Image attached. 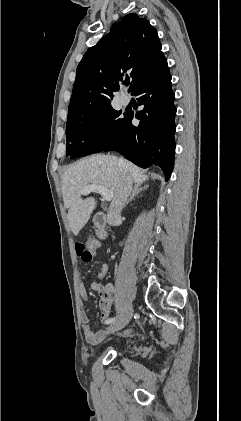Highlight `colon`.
Returning a JSON list of instances; mask_svg holds the SVG:
<instances>
[{
  "mask_svg": "<svg viewBox=\"0 0 241 421\" xmlns=\"http://www.w3.org/2000/svg\"><path fill=\"white\" fill-rule=\"evenodd\" d=\"M97 243L94 240H89L86 243L77 242L75 244V251L79 259L85 263H89L93 259L94 250Z\"/></svg>",
  "mask_w": 241,
  "mask_h": 421,
  "instance_id": "colon-1",
  "label": "colon"
}]
</instances>
